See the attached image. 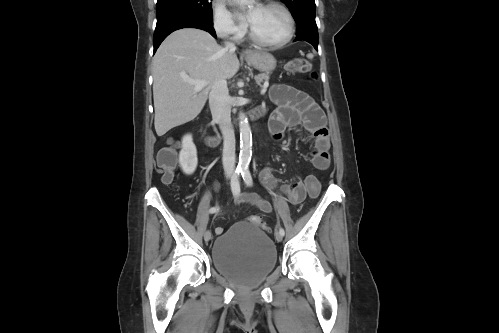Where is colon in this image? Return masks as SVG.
Here are the masks:
<instances>
[{
  "label": "colon",
  "instance_id": "5ec220e1",
  "mask_svg": "<svg viewBox=\"0 0 499 333\" xmlns=\"http://www.w3.org/2000/svg\"><path fill=\"white\" fill-rule=\"evenodd\" d=\"M288 69L296 73H310L313 79H317V74L312 71L311 63L306 59H295L288 64ZM158 165L162 173V181L165 184H171L174 180L176 169V153L174 147L164 148L158 156ZM304 188L309 198L314 199L320 193V182L315 175L309 174L303 182ZM248 221L259 227L266 228L260 217L252 215Z\"/></svg>",
  "mask_w": 499,
  "mask_h": 333
}]
</instances>
